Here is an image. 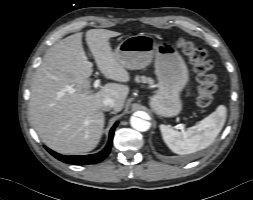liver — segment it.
Segmentation results:
<instances>
[{
  "label": "liver",
  "instance_id": "obj_1",
  "mask_svg": "<svg viewBox=\"0 0 253 200\" xmlns=\"http://www.w3.org/2000/svg\"><path fill=\"white\" fill-rule=\"evenodd\" d=\"M118 35L110 30L91 29L86 32V42L101 73L126 83L130 75L115 59L109 43L111 37ZM92 67L83 49L82 33H76L46 52L33 77L29 118L43 143L58 153L74 155L93 150L104 127L103 101L114 99L115 112L124 106L129 87L107 83L93 92L89 81Z\"/></svg>",
  "mask_w": 253,
  "mask_h": 200
}]
</instances>
